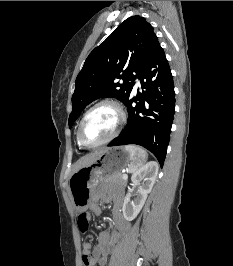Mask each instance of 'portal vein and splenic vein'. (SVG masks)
Instances as JSON below:
<instances>
[{
  "instance_id": "1",
  "label": "portal vein and splenic vein",
  "mask_w": 233,
  "mask_h": 266,
  "mask_svg": "<svg viewBox=\"0 0 233 266\" xmlns=\"http://www.w3.org/2000/svg\"><path fill=\"white\" fill-rule=\"evenodd\" d=\"M122 178H123L124 180H127V179H128V175H127V174H123V175H122Z\"/></svg>"
}]
</instances>
